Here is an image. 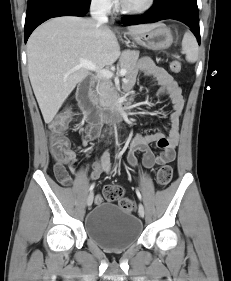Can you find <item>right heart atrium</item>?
<instances>
[{"mask_svg": "<svg viewBox=\"0 0 231 281\" xmlns=\"http://www.w3.org/2000/svg\"><path fill=\"white\" fill-rule=\"evenodd\" d=\"M92 2L103 10H108L113 5V0H92Z\"/></svg>", "mask_w": 231, "mask_h": 281, "instance_id": "obj_1", "label": "right heart atrium"}]
</instances>
